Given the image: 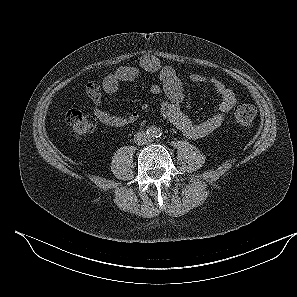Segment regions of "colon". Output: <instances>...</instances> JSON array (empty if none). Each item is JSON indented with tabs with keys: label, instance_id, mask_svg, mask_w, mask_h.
I'll use <instances>...</instances> for the list:
<instances>
[{
	"label": "colon",
	"instance_id": "5ec220e1",
	"mask_svg": "<svg viewBox=\"0 0 297 297\" xmlns=\"http://www.w3.org/2000/svg\"><path fill=\"white\" fill-rule=\"evenodd\" d=\"M234 121L240 126L250 125L257 114L256 107L249 103H239L233 108ZM66 120L71 127V136L74 139H82L93 134L97 128L96 120L77 109H71L66 114Z\"/></svg>",
	"mask_w": 297,
	"mask_h": 297
}]
</instances>
